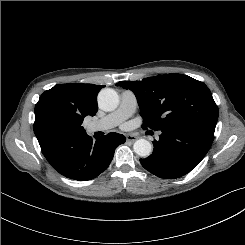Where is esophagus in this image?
<instances>
[{"instance_id": "obj_1", "label": "esophagus", "mask_w": 245, "mask_h": 245, "mask_svg": "<svg viewBox=\"0 0 245 245\" xmlns=\"http://www.w3.org/2000/svg\"><path fill=\"white\" fill-rule=\"evenodd\" d=\"M138 137L134 134H126L127 141L134 142Z\"/></svg>"}]
</instances>
